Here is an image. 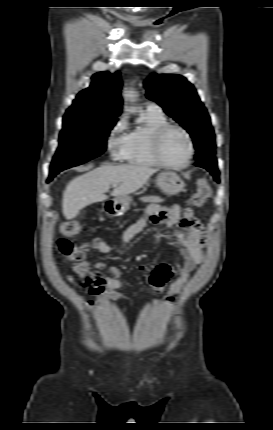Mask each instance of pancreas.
Returning <instances> with one entry per match:
<instances>
[{
  "instance_id": "1",
  "label": "pancreas",
  "mask_w": 273,
  "mask_h": 430,
  "mask_svg": "<svg viewBox=\"0 0 273 430\" xmlns=\"http://www.w3.org/2000/svg\"><path fill=\"white\" fill-rule=\"evenodd\" d=\"M143 202H163L164 200L159 196H146L141 199Z\"/></svg>"
}]
</instances>
